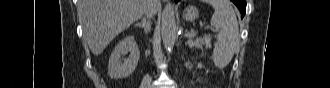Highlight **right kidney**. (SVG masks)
Returning <instances> with one entry per match:
<instances>
[{
    "label": "right kidney",
    "mask_w": 330,
    "mask_h": 88,
    "mask_svg": "<svg viewBox=\"0 0 330 88\" xmlns=\"http://www.w3.org/2000/svg\"><path fill=\"white\" fill-rule=\"evenodd\" d=\"M130 52L127 58L122 57ZM140 52L134 36H127L121 40L114 48L109 58L108 74L112 78H124L131 75L137 67Z\"/></svg>",
    "instance_id": "right-kidney-1"
}]
</instances>
